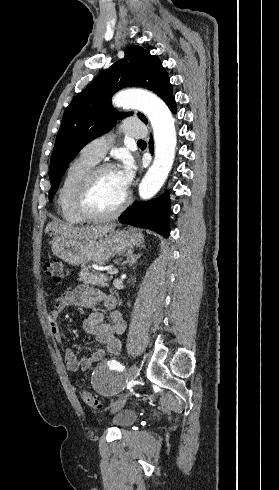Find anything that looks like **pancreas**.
Here are the masks:
<instances>
[{
	"mask_svg": "<svg viewBox=\"0 0 279 490\" xmlns=\"http://www.w3.org/2000/svg\"><path fill=\"white\" fill-rule=\"evenodd\" d=\"M78 276L79 282H83V284H92V286H99V288H106L108 282L113 278V274L104 276V274H100V272H90L89 268H86V266H82V270Z\"/></svg>",
	"mask_w": 279,
	"mask_h": 490,
	"instance_id": "obj_1",
	"label": "pancreas"
}]
</instances>
